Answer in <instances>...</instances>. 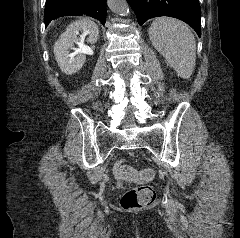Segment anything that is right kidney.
<instances>
[{"mask_svg":"<svg viewBox=\"0 0 240 238\" xmlns=\"http://www.w3.org/2000/svg\"><path fill=\"white\" fill-rule=\"evenodd\" d=\"M80 31L88 34L87 42L94 44L99 38L98 26L87 18L79 19L71 23L66 31L63 32L54 45V55L56 61L63 73L72 75L79 71L85 63V55L91 52L89 47H82L75 53H70L73 48V43L78 42L77 35Z\"/></svg>","mask_w":240,"mask_h":238,"instance_id":"right-kidney-1","label":"right kidney"}]
</instances>
